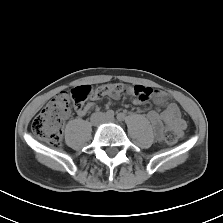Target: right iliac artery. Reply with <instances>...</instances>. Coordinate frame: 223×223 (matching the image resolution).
<instances>
[{"instance_id": "obj_1", "label": "right iliac artery", "mask_w": 223, "mask_h": 223, "mask_svg": "<svg viewBox=\"0 0 223 223\" xmlns=\"http://www.w3.org/2000/svg\"><path fill=\"white\" fill-rule=\"evenodd\" d=\"M106 115H107V117H109V118L114 117V111H113V110H108V111L106 112Z\"/></svg>"}]
</instances>
